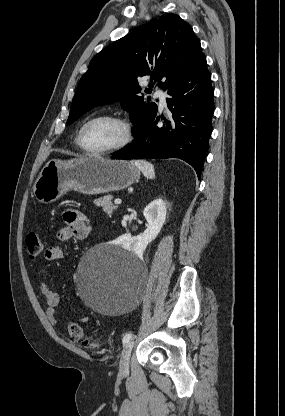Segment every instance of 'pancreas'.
<instances>
[{"mask_svg":"<svg viewBox=\"0 0 285 416\" xmlns=\"http://www.w3.org/2000/svg\"><path fill=\"white\" fill-rule=\"evenodd\" d=\"M113 196H103V198H98V200H94V204H96V206H102V210H104V212H106V214H112L113 210H117L118 206H114V204H112L111 200H112Z\"/></svg>","mask_w":285,"mask_h":416,"instance_id":"cf45deb5","label":"pancreas"}]
</instances>
